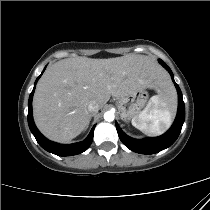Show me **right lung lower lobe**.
<instances>
[{
	"instance_id": "98d812e1",
	"label": "right lung lower lobe",
	"mask_w": 210,
	"mask_h": 210,
	"mask_svg": "<svg viewBox=\"0 0 210 210\" xmlns=\"http://www.w3.org/2000/svg\"><path fill=\"white\" fill-rule=\"evenodd\" d=\"M45 68H44V70H45ZM44 70H43V72H44ZM40 76L35 81L34 88L30 94L29 101H28V124H29V128H30L32 134L34 135L35 139L37 140L39 145L42 148H44L46 151L51 152L58 156L77 155V154H80V153L86 151L89 148V146L93 140V133H94L95 126L92 128L90 134L84 141L78 142L75 144H58V143L49 141L36 128L34 121H33V116H32V98H33L34 90L36 87V83H37L38 79L40 78Z\"/></svg>"
}]
</instances>
